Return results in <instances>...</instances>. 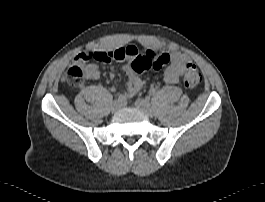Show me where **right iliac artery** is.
<instances>
[{"instance_id":"82829eb1","label":"right iliac artery","mask_w":265,"mask_h":202,"mask_svg":"<svg viewBox=\"0 0 265 202\" xmlns=\"http://www.w3.org/2000/svg\"><path fill=\"white\" fill-rule=\"evenodd\" d=\"M116 101H118L119 103H122L124 101V97L122 95H120V96H118Z\"/></svg>"}]
</instances>
